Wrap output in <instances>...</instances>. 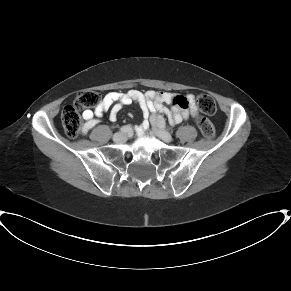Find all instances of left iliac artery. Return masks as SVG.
Masks as SVG:
<instances>
[{
  "label": "left iliac artery",
  "instance_id": "1",
  "mask_svg": "<svg viewBox=\"0 0 291 291\" xmlns=\"http://www.w3.org/2000/svg\"><path fill=\"white\" fill-rule=\"evenodd\" d=\"M160 123H161V124H160L161 127H164V126H165V122H164V120H161Z\"/></svg>",
  "mask_w": 291,
  "mask_h": 291
}]
</instances>
